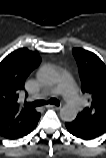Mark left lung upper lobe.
I'll list each match as a JSON object with an SVG mask.
<instances>
[{
  "mask_svg": "<svg viewBox=\"0 0 106 158\" xmlns=\"http://www.w3.org/2000/svg\"><path fill=\"white\" fill-rule=\"evenodd\" d=\"M81 79V90L91 96V104L84 108L70 124L89 139L106 131V65L94 53L74 48Z\"/></svg>",
  "mask_w": 106,
  "mask_h": 158,
  "instance_id": "left-lung-upper-lobe-1",
  "label": "left lung upper lobe"
}]
</instances>
